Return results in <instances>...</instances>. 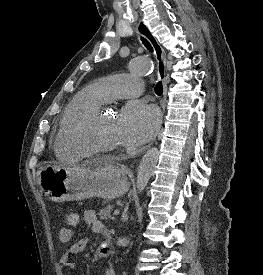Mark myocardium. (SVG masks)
<instances>
[{
	"label": "myocardium",
	"instance_id": "myocardium-1",
	"mask_svg": "<svg viewBox=\"0 0 263 275\" xmlns=\"http://www.w3.org/2000/svg\"><path fill=\"white\" fill-rule=\"evenodd\" d=\"M109 108L105 105L89 111L85 114L69 131L68 137L72 143L86 155L108 154L119 150L120 145H101L93 142L87 137L98 120L107 112Z\"/></svg>",
	"mask_w": 263,
	"mask_h": 275
}]
</instances>
